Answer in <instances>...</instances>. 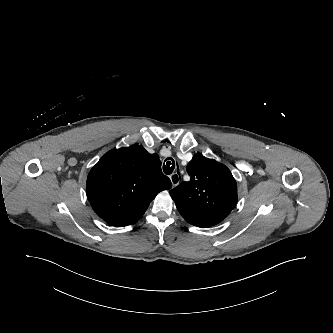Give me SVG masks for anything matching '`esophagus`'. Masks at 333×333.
Wrapping results in <instances>:
<instances>
[{"instance_id":"esophagus-1","label":"esophagus","mask_w":333,"mask_h":333,"mask_svg":"<svg viewBox=\"0 0 333 333\" xmlns=\"http://www.w3.org/2000/svg\"><path fill=\"white\" fill-rule=\"evenodd\" d=\"M170 180L173 187H176L180 183V175L179 173L175 172L170 176Z\"/></svg>"}]
</instances>
